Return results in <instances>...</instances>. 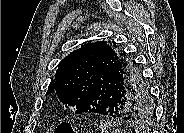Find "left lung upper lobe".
I'll return each instance as SVG.
<instances>
[{
	"mask_svg": "<svg viewBox=\"0 0 184 133\" xmlns=\"http://www.w3.org/2000/svg\"><path fill=\"white\" fill-rule=\"evenodd\" d=\"M102 51L106 52L108 59L110 58V61L112 60V63L119 68L128 85L137 86V77H140L142 86L147 90V92H136L132 97L133 106L128 108L129 113L134 117L132 123L142 127L153 114L148 88L134 61L108 45L106 41L84 44L61 60L46 94L55 91L66 106L77 109L90 96L96 76L101 72L98 61Z\"/></svg>",
	"mask_w": 184,
	"mask_h": 133,
	"instance_id": "left-lung-upper-lobe-1",
	"label": "left lung upper lobe"
}]
</instances>
